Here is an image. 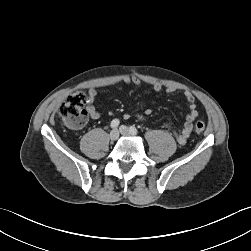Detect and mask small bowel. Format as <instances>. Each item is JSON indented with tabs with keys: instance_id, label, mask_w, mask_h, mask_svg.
Masks as SVG:
<instances>
[{
	"instance_id": "c3829d8e",
	"label": "small bowel",
	"mask_w": 251,
	"mask_h": 251,
	"mask_svg": "<svg viewBox=\"0 0 251 251\" xmlns=\"http://www.w3.org/2000/svg\"><path fill=\"white\" fill-rule=\"evenodd\" d=\"M121 82L123 84H133L135 86H139L142 84V80L135 76H125L122 78ZM152 88L155 92H160L162 90V86L160 84H153ZM176 91L177 90L173 87L166 88L167 93H174ZM96 97H97V90L94 88H90L88 90V100H87L88 105H87L86 110L89 117L94 120H97L100 118V112L97 110V108L93 104ZM184 97L189 104V113L185 117V121L183 123L181 130L173 131L177 142L181 145H184L187 142L193 130V122L198 117L197 106H196L195 98L192 95V93L189 91H185ZM151 113H152V110L148 108L145 110L144 114L138 113L136 114V117L141 120H144L145 116H149ZM124 118L128 119L130 118V115L125 114ZM166 127L170 128L169 125H166Z\"/></svg>"
}]
</instances>
